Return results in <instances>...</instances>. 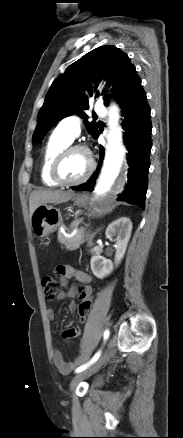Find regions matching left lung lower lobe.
I'll list each match as a JSON object with an SVG mask.
<instances>
[{
  "instance_id": "0a47b994",
  "label": "left lung lower lobe",
  "mask_w": 183,
  "mask_h": 438,
  "mask_svg": "<svg viewBox=\"0 0 183 438\" xmlns=\"http://www.w3.org/2000/svg\"><path fill=\"white\" fill-rule=\"evenodd\" d=\"M118 103L122 107L125 131L124 142L128 150L127 160L129 165L128 184L118 200L135 204L142 209L145 207V197L148 184V170L150 166L149 155L152 147L150 108L146 93L141 86V80L136 77L119 97ZM99 136V131L94 138ZM104 149L100 148V161L98 168L90 179L81 185L72 187L78 191H92L101 163Z\"/></svg>"
}]
</instances>
